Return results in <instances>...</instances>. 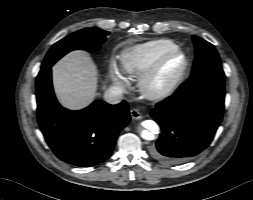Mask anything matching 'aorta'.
Here are the masks:
<instances>
[{
  "label": "aorta",
  "instance_id": "762f6f07",
  "mask_svg": "<svg viewBox=\"0 0 253 200\" xmlns=\"http://www.w3.org/2000/svg\"><path fill=\"white\" fill-rule=\"evenodd\" d=\"M142 125L146 129L141 131V137L145 140H153L154 134L158 132V125L152 120H146Z\"/></svg>",
  "mask_w": 253,
  "mask_h": 200
}]
</instances>
